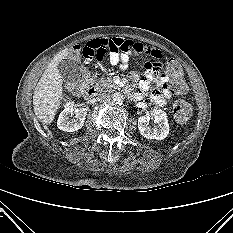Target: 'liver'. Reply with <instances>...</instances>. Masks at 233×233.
I'll list each match as a JSON object with an SVG mask.
<instances>
[{"mask_svg":"<svg viewBox=\"0 0 233 233\" xmlns=\"http://www.w3.org/2000/svg\"><path fill=\"white\" fill-rule=\"evenodd\" d=\"M68 54L69 49H64L54 56L44 70L33 93L34 112L42 124H51L60 106L63 94V77L57 65Z\"/></svg>","mask_w":233,"mask_h":233,"instance_id":"liver-1","label":"liver"}]
</instances>
